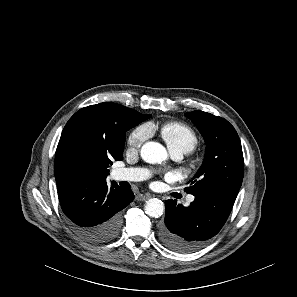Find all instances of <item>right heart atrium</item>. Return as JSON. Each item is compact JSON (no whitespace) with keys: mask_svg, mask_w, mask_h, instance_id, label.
Here are the masks:
<instances>
[{"mask_svg":"<svg viewBox=\"0 0 297 297\" xmlns=\"http://www.w3.org/2000/svg\"><path fill=\"white\" fill-rule=\"evenodd\" d=\"M150 135L147 126H139L134 129L128 137V146L130 149L138 150Z\"/></svg>","mask_w":297,"mask_h":297,"instance_id":"d8ad5b80","label":"right heart atrium"}]
</instances>
